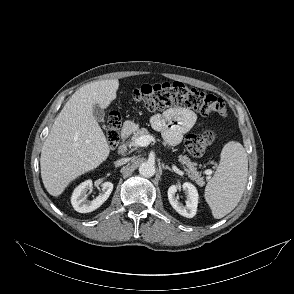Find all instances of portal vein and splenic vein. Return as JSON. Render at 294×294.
I'll return each mask as SVG.
<instances>
[{
  "mask_svg": "<svg viewBox=\"0 0 294 294\" xmlns=\"http://www.w3.org/2000/svg\"><path fill=\"white\" fill-rule=\"evenodd\" d=\"M151 142H155V138L153 136L143 135V136H140L139 138H137L135 140L134 144L136 146L144 147V146L149 145Z\"/></svg>",
  "mask_w": 294,
  "mask_h": 294,
  "instance_id": "1",
  "label": "portal vein and splenic vein"
}]
</instances>
